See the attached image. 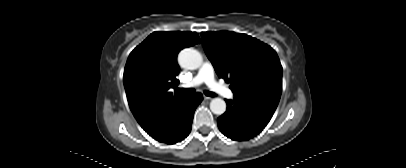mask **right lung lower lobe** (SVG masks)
<instances>
[{
  "mask_svg": "<svg viewBox=\"0 0 406 168\" xmlns=\"http://www.w3.org/2000/svg\"><path fill=\"white\" fill-rule=\"evenodd\" d=\"M202 100L201 93L183 98L146 132L159 142L174 144L182 141L191 131L194 112Z\"/></svg>",
  "mask_w": 406,
  "mask_h": 168,
  "instance_id": "obj_1",
  "label": "right lung lower lobe"
}]
</instances>
